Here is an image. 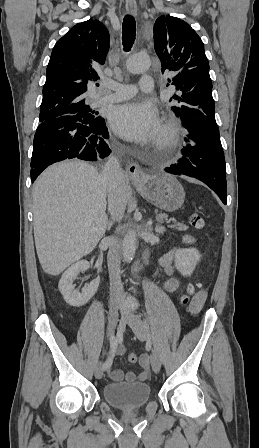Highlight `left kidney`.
I'll use <instances>...</instances> for the list:
<instances>
[{"label": "left kidney", "mask_w": 259, "mask_h": 448, "mask_svg": "<svg viewBox=\"0 0 259 448\" xmlns=\"http://www.w3.org/2000/svg\"><path fill=\"white\" fill-rule=\"evenodd\" d=\"M199 260L200 254L196 248H184L175 254V266L182 276H191Z\"/></svg>", "instance_id": "1"}]
</instances>
